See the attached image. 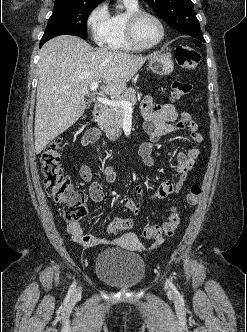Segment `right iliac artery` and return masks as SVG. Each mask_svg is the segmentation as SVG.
<instances>
[{"label": "right iliac artery", "mask_w": 247, "mask_h": 332, "mask_svg": "<svg viewBox=\"0 0 247 332\" xmlns=\"http://www.w3.org/2000/svg\"><path fill=\"white\" fill-rule=\"evenodd\" d=\"M75 285H76L75 282L71 285V287H70V289H69V294H71V292L74 290Z\"/></svg>", "instance_id": "82829eb1"}]
</instances>
